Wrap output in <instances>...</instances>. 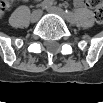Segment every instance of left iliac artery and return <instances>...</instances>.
<instances>
[{"mask_svg":"<svg viewBox=\"0 0 103 103\" xmlns=\"http://www.w3.org/2000/svg\"><path fill=\"white\" fill-rule=\"evenodd\" d=\"M65 12H66V15L68 16L69 20H70L71 22H74V21H75V16H74V14H73L72 12H70L69 10H65Z\"/></svg>","mask_w":103,"mask_h":103,"instance_id":"left-iliac-artery-1","label":"left iliac artery"}]
</instances>
